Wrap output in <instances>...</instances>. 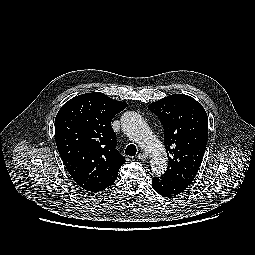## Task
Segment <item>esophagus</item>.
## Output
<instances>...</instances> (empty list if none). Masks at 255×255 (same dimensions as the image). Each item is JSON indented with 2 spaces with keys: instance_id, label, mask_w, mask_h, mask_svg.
Here are the masks:
<instances>
[{
  "instance_id": "esophagus-1",
  "label": "esophagus",
  "mask_w": 255,
  "mask_h": 255,
  "mask_svg": "<svg viewBox=\"0 0 255 255\" xmlns=\"http://www.w3.org/2000/svg\"><path fill=\"white\" fill-rule=\"evenodd\" d=\"M138 158L142 161H146L148 159V155L145 152H142L138 155Z\"/></svg>"
}]
</instances>
